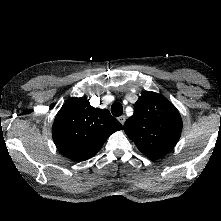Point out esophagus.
<instances>
[{"mask_svg":"<svg viewBox=\"0 0 221 221\" xmlns=\"http://www.w3.org/2000/svg\"><path fill=\"white\" fill-rule=\"evenodd\" d=\"M119 122L123 125L125 123V120H126V116L125 115H122L118 118Z\"/></svg>","mask_w":221,"mask_h":221,"instance_id":"34e87169","label":"esophagus"}]
</instances>
